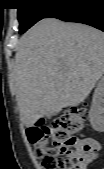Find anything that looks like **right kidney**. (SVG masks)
<instances>
[{"label": "right kidney", "instance_id": "obj_1", "mask_svg": "<svg viewBox=\"0 0 104 169\" xmlns=\"http://www.w3.org/2000/svg\"><path fill=\"white\" fill-rule=\"evenodd\" d=\"M90 123L94 130H104V79L98 82L93 94Z\"/></svg>", "mask_w": 104, "mask_h": 169}]
</instances>
